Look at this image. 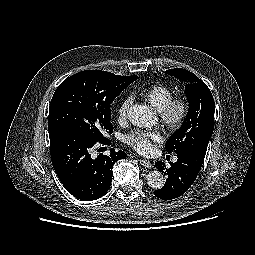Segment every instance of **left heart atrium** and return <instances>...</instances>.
<instances>
[{
	"label": "left heart atrium",
	"mask_w": 255,
	"mask_h": 255,
	"mask_svg": "<svg viewBox=\"0 0 255 255\" xmlns=\"http://www.w3.org/2000/svg\"><path fill=\"white\" fill-rule=\"evenodd\" d=\"M159 139L155 131H134L124 136V141L140 153H148L152 149V141Z\"/></svg>",
	"instance_id": "obj_1"
}]
</instances>
